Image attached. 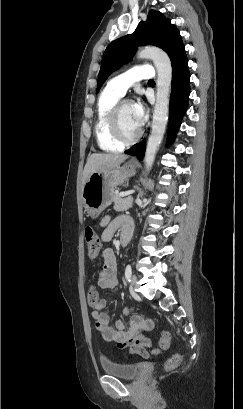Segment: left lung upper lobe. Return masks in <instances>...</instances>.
<instances>
[{
    "instance_id": "obj_1",
    "label": "left lung upper lobe",
    "mask_w": 243,
    "mask_h": 409,
    "mask_svg": "<svg viewBox=\"0 0 243 409\" xmlns=\"http://www.w3.org/2000/svg\"><path fill=\"white\" fill-rule=\"evenodd\" d=\"M139 45H154L163 49L172 59L183 46L180 33L170 20L155 10H150L145 22L141 21L133 34L111 42L102 58L97 91L107 77L134 55Z\"/></svg>"
}]
</instances>
